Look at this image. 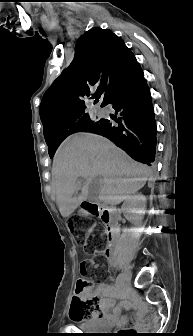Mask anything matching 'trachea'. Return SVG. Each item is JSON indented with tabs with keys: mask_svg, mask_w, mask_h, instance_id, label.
<instances>
[{
	"mask_svg": "<svg viewBox=\"0 0 193 336\" xmlns=\"http://www.w3.org/2000/svg\"><path fill=\"white\" fill-rule=\"evenodd\" d=\"M98 99H99V96L96 98V100L98 101Z\"/></svg>",
	"mask_w": 193,
	"mask_h": 336,
	"instance_id": "obj_1",
	"label": "trachea"
}]
</instances>
